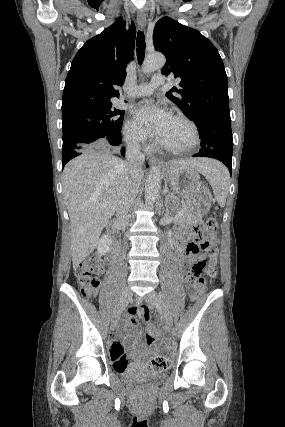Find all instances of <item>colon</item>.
Listing matches in <instances>:
<instances>
[{
    "mask_svg": "<svg viewBox=\"0 0 285 427\" xmlns=\"http://www.w3.org/2000/svg\"><path fill=\"white\" fill-rule=\"evenodd\" d=\"M218 230V223L215 218H209L201 228H194L191 231L193 241L185 246V253L189 260V267L185 270L184 276L188 283V290L192 297L198 296L203 284V274L213 277L216 274V264L211 260L209 264L200 253H208L214 258L218 249L215 242V235ZM104 272V265L98 258H86L75 265V275L80 286L81 294L84 297H91L100 283V276ZM132 311V310H131ZM148 366L152 370H164L170 366V360L165 355L156 356L148 360ZM126 366L123 362L120 367Z\"/></svg>",
    "mask_w": 285,
    "mask_h": 427,
    "instance_id": "obj_1",
    "label": "colon"
}]
</instances>
